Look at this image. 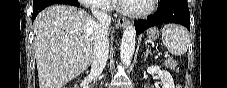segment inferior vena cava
Listing matches in <instances>:
<instances>
[{"label":"inferior vena cava","instance_id":"inferior-vena-cava-1","mask_svg":"<svg viewBox=\"0 0 227 88\" xmlns=\"http://www.w3.org/2000/svg\"><path fill=\"white\" fill-rule=\"evenodd\" d=\"M98 5L92 7L97 25L94 32V49L91 73L98 77L106 66L109 55L108 27L111 24V17L105 11H100Z\"/></svg>","mask_w":227,"mask_h":88}]
</instances>
